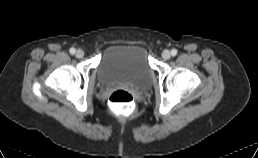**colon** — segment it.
Masks as SVG:
<instances>
[{"mask_svg": "<svg viewBox=\"0 0 258 158\" xmlns=\"http://www.w3.org/2000/svg\"><path fill=\"white\" fill-rule=\"evenodd\" d=\"M108 103L114 112L120 115H128L133 111L135 100L129 91L119 89L110 95Z\"/></svg>", "mask_w": 258, "mask_h": 158, "instance_id": "5ec220e1", "label": "colon"}]
</instances>
